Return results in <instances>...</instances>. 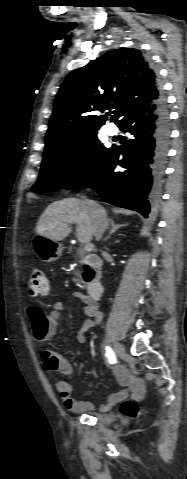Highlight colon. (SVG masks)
<instances>
[{"label": "colon", "mask_w": 187, "mask_h": 479, "mask_svg": "<svg viewBox=\"0 0 187 479\" xmlns=\"http://www.w3.org/2000/svg\"><path fill=\"white\" fill-rule=\"evenodd\" d=\"M27 290L30 296L38 297L48 293V279L41 269H33L27 282ZM120 412L126 417H135L138 414L137 407L131 401H125L120 407Z\"/></svg>", "instance_id": "5ec220e1"}]
</instances>
